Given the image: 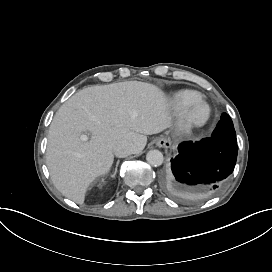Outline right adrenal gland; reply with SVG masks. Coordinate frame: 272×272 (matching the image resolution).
Masks as SVG:
<instances>
[{
	"instance_id": "obj_1",
	"label": "right adrenal gland",
	"mask_w": 272,
	"mask_h": 272,
	"mask_svg": "<svg viewBox=\"0 0 272 272\" xmlns=\"http://www.w3.org/2000/svg\"><path fill=\"white\" fill-rule=\"evenodd\" d=\"M119 164V161L117 162V165ZM116 172H117V168H116V170H115V172L111 175V177L112 178H114L115 177V175H116Z\"/></svg>"
}]
</instances>
